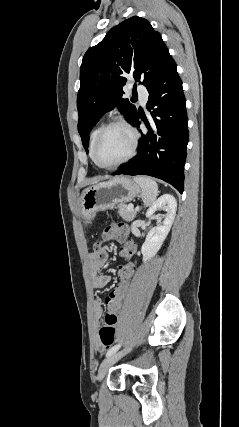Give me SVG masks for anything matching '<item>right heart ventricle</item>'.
I'll use <instances>...</instances> for the list:
<instances>
[{
	"mask_svg": "<svg viewBox=\"0 0 239 427\" xmlns=\"http://www.w3.org/2000/svg\"><path fill=\"white\" fill-rule=\"evenodd\" d=\"M102 126L103 125H99V126H97L92 132H91V135H90V142H89V154H90V157L92 158V147H93V143H94V141H95V138H96V136H97V134H98V132H99V130L102 128Z\"/></svg>",
	"mask_w": 239,
	"mask_h": 427,
	"instance_id": "right-heart-ventricle-1",
	"label": "right heart ventricle"
}]
</instances>
